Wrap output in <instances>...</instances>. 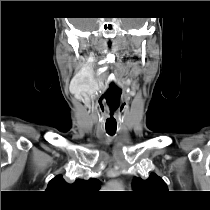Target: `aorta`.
I'll return each instance as SVG.
<instances>
[{
    "label": "aorta",
    "instance_id": "obj_1",
    "mask_svg": "<svg viewBox=\"0 0 210 210\" xmlns=\"http://www.w3.org/2000/svg\"><path fill=\"white\" fill-rule=\"evenodd\" d=\"M109 188H111V189H119L120 185L118 183H112V184L109 185Z\"/></svg>",
    "mask_w": 210,
    "mask_h": 210
}]
</instances>
